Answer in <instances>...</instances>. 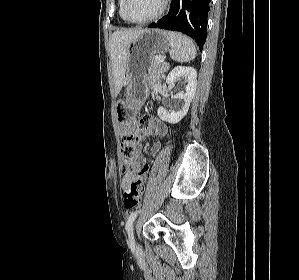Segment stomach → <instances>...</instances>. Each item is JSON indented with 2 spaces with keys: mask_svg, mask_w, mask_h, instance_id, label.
Wrapping results in <instances>:
<instances>
[{
  "mask_svg": "<svg viewBox=\"0 0 299 280\" xmlns=\"http://www.w3.org/2000/svg\"><path fill=\"white\" fill-rule=\"evenodd\" d=\"M170 47L167 33L160 29H146L127 49L125 95L118 101L122 124L131 122L149 92L148 71L154 56L163 54ZM120 118V117H119Z\"/></svg>",
  "mask_w": 299,
  "mask_h": 280,
  "instance_id": "1",
  "label": "stomach"
}]
</instances>
